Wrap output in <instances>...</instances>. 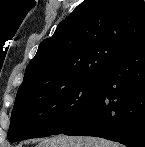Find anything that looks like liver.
Returning <instances> with one entry per match:
<instances>
[{"mask_svg": "<svg viewBox=\"0 0 145 147\" xmlns=\"http://www.w3.org/2000/svg\"><path fill=\"white\" fill-rule=\"evenodd\" d=\"M36 147H122L118 143L97 137L58 135L40 142Z\"/></svg>", "mask_w": 145, "mask_h": 147, "instance_id": "liver-1", "label": "liver"}]
</instances>
